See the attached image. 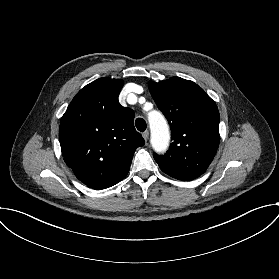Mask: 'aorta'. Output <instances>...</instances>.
<instances>
[{"label": "aorta", "instance_id": "1", "mask_svg": "<svg viewBox=\"0 0 279 279\" xmlns=\"http://www.w3.org/2000/svg\"><path fill=\"white\" fill-rule=\"evenodd\" d=\"M149 122L152 130V144L157 151H163L168 146L169 132L168 125L164 117L153 112L149 115Z\"/></svg>", "mask_w": 279, "mask_h": 279}]
</instances>
